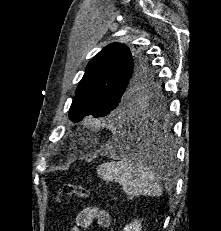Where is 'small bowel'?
I'll return each mask as SVG.
<instances>
[{
  "mask_svg": "<svg viewBox=\"0 0 221 231\" xmlns=\"http://www.w3.org/2000/svg\"><path fill=\"white\" fill-rule=\"evenodd\" d=\"M94 222L102 229L108 228L111 223L110 214L97 207L84 206L78 213L71 231H82L90 227Z\"/></svg>",
  "mask_w": 221,
  "mask_h": 231,
  "instance_id": "c3829d8e",
  "label": "small bowel"
}]
</instances>
